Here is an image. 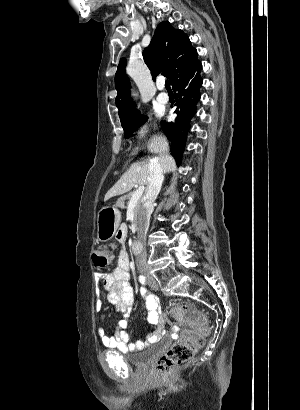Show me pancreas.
Instances as JSON below:
<instances>
[{
	"label": "pancreas",
	"instance_id": "pancreas-1",
	"mask_svg": "<svg viewBox=\"0 0 300 410\" xmlns=\"http://www.w3.org/2000/svg\"><path fill=\"white\" fill-rule=\"evenodd\" d=\"M132 195H133V193H129V194H127V195L121 197V198L117 201V204H118L120 207H124L125 200H129V201H130ZM141 208H142V201H141V200H138V202L136 203L135 208H134V214H135L136 216H137L138 212L141 210Z\"/></svg>",
	"mask_w": 300,
	"mask_h": 410
}]
</instances>
